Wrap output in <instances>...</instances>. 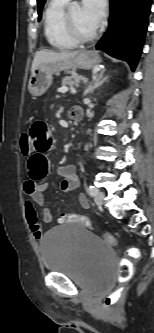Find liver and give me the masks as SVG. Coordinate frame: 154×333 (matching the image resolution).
<instances>
[{
	"instance_id": "obj_1",
	"label": "liver",
	"mask_w": 154,
	"mask_h": 333,
	"mask_svg": "<svg viewBox=\"0 0 154 333\" xmlns=\"http://www.w3.org/2000/svg\"><path fill=\"white\" fill-rule=\"evenodd\" d=\"M79 52L78 51H61L55 52L50 50H41L38 51L33 59L31 73L41 64L56 63L64 60L71 59L75 57Z\"/></svg>"
}]
</instances>
